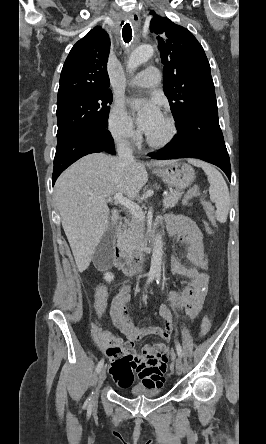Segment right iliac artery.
Listing matches in <instances>:
<instances>
[{"label":"right iliac artery","instance_id":"82829eb1","mask_svg":"<svg viewBox=\"0 0 266 444\" xmlns=\"http://www.w3.org/2000/svg\"><path fill=\"white\" fill-rule=\"evenodd\" d=\"M154 277H155V275H154L153 273H149V274H148L147 285L150 284V282L153 281ZM103 365H104V359H101L100 362H99L98 365H97V368H96V372H97V373L100 372V370L102 369ZM91 399H92V398H91V396H90V397L87 399L86 404H87V403H90V402H91Z\"/></svg>","mask_w":266,"mask_h":444}]
</instances>
